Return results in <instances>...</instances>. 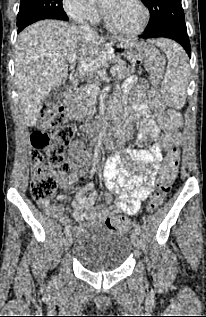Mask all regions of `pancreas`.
<instances>
[{
  "instance_id": "1",
  "label": "pancreas",
  "mask_w": 206,
  "mask_h": 317,
  "mask_svg": "<svg viewBox=\"0 0 206 317\" xmlns=\"http://www.w3.org/2000/svg\"><path fill=\"white\" fill-rule=\"evenodd\" d=\"M135 71L134 66L126 65L122 63L120 68L116 71L115 77L117 81H121L126 77H129ZM89 72V71H88ZM96 83H98L96 81ZM96 87L99 85L96 84ZM97 100L96 97L89 95L85 88H76L74 92L73 104L75 105L77 112H76V119L84 121L89 120L92 115L96 112Z\"/></svg>"
}]
</instances>
